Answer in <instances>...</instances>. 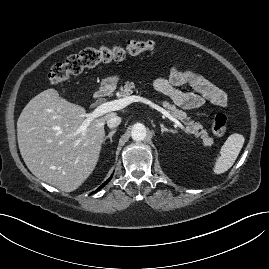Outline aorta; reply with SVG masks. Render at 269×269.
I'll use <instances>...</instances> for the list:
<instances>
[{
	"instance_id": "1",
	"label": "aorta",
	"mask_w": 269,
	"mask_h": 269,
	"mask_svg": "<svg viewBox=\"0 0 269 269\" xmlns=\"http://www.w3.org/2000/svg\"><path fill=\"white\" fill-rule=\"evenodd\" d=\"M147 131L143 124L136 123L131 130V137L134 141H142L146 138Z\"/></svg>"
}]
</instances>
